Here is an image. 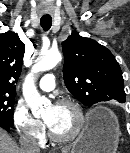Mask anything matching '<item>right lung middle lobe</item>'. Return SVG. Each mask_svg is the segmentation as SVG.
Here are the masks:
<instances>
[{
	"mask_svg": "<svg viewBox=\"0 0 130 153\" xmlns=\"http://www.w3.org/2000/svg\"><path fill=\"white\" fill-rule=\"evenodd\" d=\"M14 95L0 94V120L13 127Z\"/></svg>",
	"mask_w": 130,
	"mask_h": 153,
	"instance_id": "1",
	"label": "right lung middle lobe"
}]
</instances>
